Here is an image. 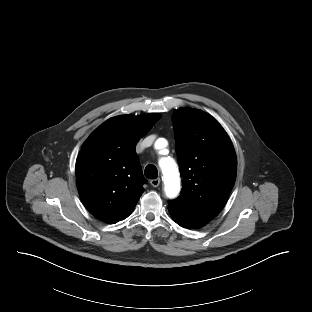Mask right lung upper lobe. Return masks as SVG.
Returning a JSON list of instances; mask_svg holds the SVG:
<instances>
[{
  "instance_id": "obj_1",
  "label": "right lung upper lobe",
  "mask_w": 312,
  "mask_h": 312,
  "mask_svg": "<svg viewBox=\"0 0 312 312\" xmlns=\"http://www.w3.org/2000/svg\"><path fill=\"white\" fill-rule=\"evenodd\" d=\"M159 118L113 117L84 142L76 160V184L84 206L97 219L114 224L132 213L147 182L135 146Z\"/></svg>"
}]
</instances>
